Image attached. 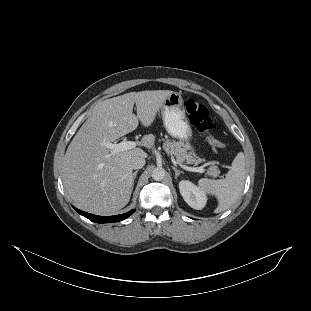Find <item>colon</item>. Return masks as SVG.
<instances>
[{
	"mask_svg": "<svg viewBox=\"0 0 311 311\" xmlns=\"http://www.w3.org/2000/svg\"><path fill=\"white\" fill-rule=\"evenodd\" d=\"M185 108L190 122L206 136L211 148L215 151L223 149L224 144L212 132L213 122L207 108L195 99H188Z\"/></svg>",
	"mask_w": 311,
	"mask_h": 311,
	"instance_id": "colon-1",
	"label": "colon"
}]
</instances>
